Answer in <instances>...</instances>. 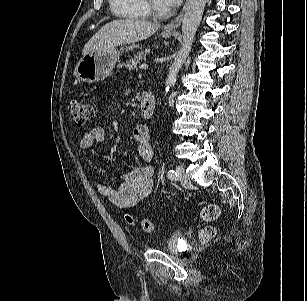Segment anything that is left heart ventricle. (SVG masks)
Returning a JSON list of instances; mask_svg holds the SVG:
<instances>
[{"label": "left heart ventricle", "mask_w": 307, "mask_h": 301, "mask_svg": "<svg viewBox=\"0 0 307 301\" xmlns=\"http://www.w3.org/2000/svg\"><path fill=\"white\" fill-rule=\"evenodd\" d=\"M150 1L155 8H157L158 10H163V8L158 4L157 0H150Z\"/></svg>", "instance_id": "left-heart-ventricle-1"}]
</instances>
